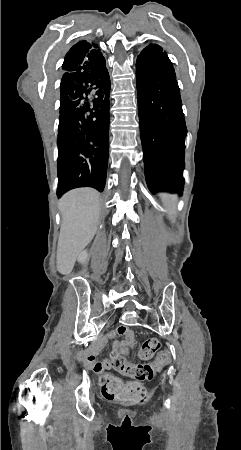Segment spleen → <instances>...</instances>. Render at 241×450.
<instances>
[{
    "mask_svg": "<svg viewBox=\"0 0 241 450\" xmlns=\"http://www.w3.org/2000/svg\"><path fill=\"white\" fill-rule=\"evenodd\" d=\"M160 198L162 200V204H164L167 210L168 218L174 222L177 196H171V194H160Z\"/></svg>",
    "mask_w": 241,
    "mask_h": 450,
    "instance_id": "obj_1",
    "label": "spleen"
}]
</instances>
